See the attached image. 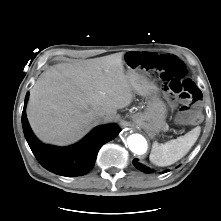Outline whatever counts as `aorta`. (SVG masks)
Wrapping results in <instances>:
<instances>
[{
    "instance_id": "762f6f07",
    "label": "aorta",
    "mask_w": 221,
    "mask_h": 221,
    "mask_svg": "<svg viewBox=\"0 0 221 221\" xmlns=\"http://www.w3.org/2000/svg\"><path fill=\"white\" fill-rule=\"evenodd\" d=\"M129 149L138 155L144 154L147 150V141L140 134H131L127 138Z\"/></svg>"
}]
</instances>
